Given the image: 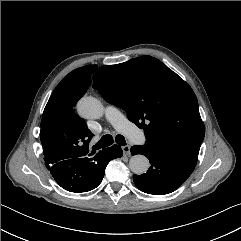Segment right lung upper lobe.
Listing matches in <instances>:
<instances>
[{
    "instance_id": "1",
    "label": "right lung upper lobe",
    "mask_w": 241,
    "mask_h": 241,
    "mask_svg": "<svg viewBox=\"0 0 241 241\" xmlns=\"http://www.w3.org/2000/svg\"><path fill=\"white\" fill-rule=\"evenodd\" d=\"M96 69V65H89L72 71L50 96L41 120L44 159L55 161L91 153L89 142L93 134L74 106L89 88Z\"/></svg>"
}]
</instances>
